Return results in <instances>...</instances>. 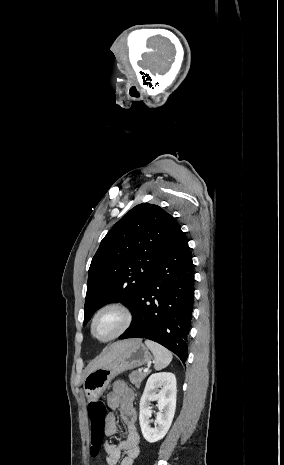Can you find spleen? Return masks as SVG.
<instances>
[{"label": "spleen", "mask_w": 284, "mask_h": 465, "mask_svg": "<svg viewBox=\"0 0 284 465\" xmlns=\"http://www.w3.org/2000/svg\"><path fill=\"white\" fill-rule=\"evenodd\" d=\"M145 345H147L148 349H150L151 353L154 355L156 371H161V369H165V367L170 365L173 359L170 351H167L165 347H161L158 343H153V341H145Z\"/></svg>", "instance_id": "obj_1"}]
</instances>
